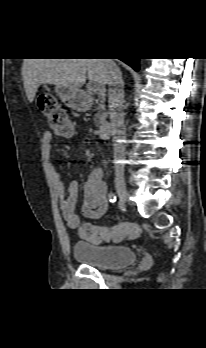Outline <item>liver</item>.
I'll return each mask as SVG.
<instances>
[{
    "label": "liver",
    "instance_id": "1",
    "mask_svg": "<svg viewBox=\"0 0 206 348\" xmlns=\"http://www.w3.org/2000/svg\"><path fill=\"white\" fill-rule=\"evenodd\" d=\"M108 76L104 59H24L22 66L23 85L31 103L41 84L80 89L87 78L91 83L104 86Z\"/></svg>",
    "mask_w": 206,
    "mask_h": 348
}]
</instances>
